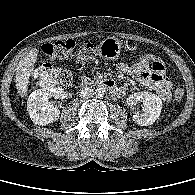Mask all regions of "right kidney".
I'll use <instances>...</instances> for the list:
<instances>
[{
    "label": "right kidney",
    "instance_id": "right-kidney-1",
    "mask_svg": "<svg viewBox=\"0 0 195 195\" xmlns=\"http://www.w3.org/2000/svg\"><path fill=\"white\" fill-rule=\"evenodd\" d=\"M52 97L64 99L67 94L60 87H45L30 94L27 101V110L34 124L47 125L58 120L60 110L49 101Z\"/></svg>",
    "mask_w": 195,
    "mask_h": 195
}]
</instances>
